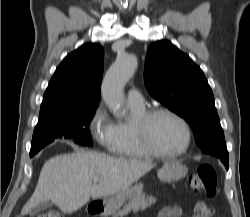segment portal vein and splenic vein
Segmentation results:
<instances>
[{
    "label": "portal vein and splenic vein",
    "instance_id": "1",
    "mask_svg": "<svg viewBox=\"0 0 250 217\" xmlns=\"http://www.w3.org/2000/svg\"><path fill=\"white\" fill-rule=\"evenodd\" d=\"M93 181H94V184L96 185L100 180L98 178H95Z\"/></svg>",
    "mask_w": 250,
    "mask_h": 217
}]
</instances>
